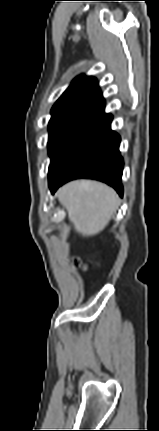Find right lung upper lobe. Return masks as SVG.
Here are the masks:
<instances>
[{"label": "right lung upper lobe", "mask_w": 159, "mask_h": 431, "mask_svg": "<svg viewBox=\"0 0 159 431\" xmlns=\"http://www.w3.org/2000/svg\"><path fill=\"white\" fill-rule=\"evenodd\" d=\"M105 103L96 78L77 77L51 110L52 118H70L86 123L105 114Z\"/></svg>", "instance_id": "cb5924a9"}]
</instances>
